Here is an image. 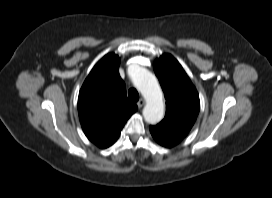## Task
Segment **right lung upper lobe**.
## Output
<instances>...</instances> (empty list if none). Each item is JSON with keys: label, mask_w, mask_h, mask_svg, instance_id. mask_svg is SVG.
<instances>
[{"label": "right lung upper lobe", "mask_w": 272, "mask_h": 198, "mask_svg": "<svg viewBox=\"0 0 272 198\" xmlns=\"http://www.w3.org/2000/svg\"><path fill=\"white\" fill-rule=\"evenodd\" d=\"M120 58L105 55L83 83L78 97V113L87 138L100 148H107L119 137L128 118L137 111L129 101L119 75Z\"/></svg>", "instance_id": "right-lung-upper-lobe-1"}]
</instances>
